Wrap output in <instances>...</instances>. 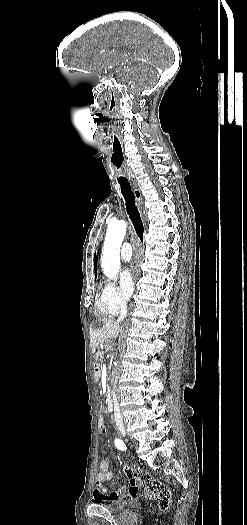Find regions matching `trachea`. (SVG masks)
Returning a JSON list of instances; mask_svg holds the SVG:
<instances>
[{
	"label": "trachea",
	"mask_w": 247,
	"mask_h": 525,
	"mask_svg": "<svg viewBox=\"0 0 247 525\" xmlns=\"http://www.w3.org/2000/svg\"><path fill=\"white\" fill-rule=\"evenodd\" d=\"M121 187V193L123 195V198L125 200L126 210L129 215V218L135 228V231L137 233V236L143 242V234H144V224L141 219L140 213L138 208L135 205V196L132 191L131 185L128 181L126 182H119Z\"/></svg>",
	"instance_id": "3493384b"
}]
</instances>
